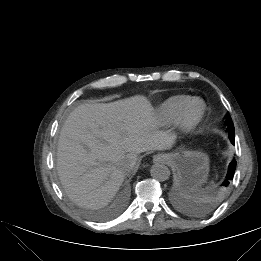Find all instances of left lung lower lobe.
<instances>
[{"instance_id": "left-lung-lower-lobe-1", "label": "left lung lower lobe", "mask_w": 261, "mask_h": 261, "mask_svg": "<svg viewBox=\"0 0 261 261\" xmlns=\"http://www.w3.org/2000/svg\"><path fill=\"white\" fill-rule=\"evenodd\" d=\"M229 139H230L231 143L234 145L235 144L234 137L230 136ZM235 169H236V161L233 160V161H231V163L229 165L227 176L225 178L229 184H230V181L232 180V178L234 176Z\"/></svg>"}]
</instances>
